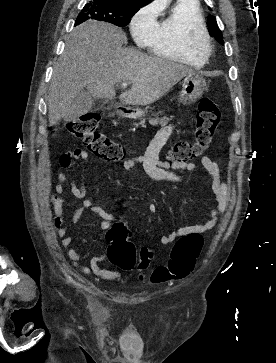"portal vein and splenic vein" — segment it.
<instances>
[{"label": "portal vein and splenic vein", "mask_w": 276, "mask_h": 363, "mask_svg": "<svg viewBox=\"0 0 276 363\" xmlns=\"http://www.w3.org/2000/svg\"><path fill=\"white\" fill-rule=\"evenodd\" d=\"M127 83L126 82H124V83H122V88H126L127 87Z\"/></svg>", "instance_id": "1"}]
</instances>
